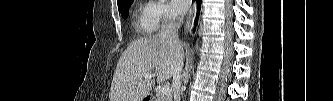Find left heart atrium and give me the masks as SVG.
<instances>
[{
	"label": "left heart atrium",
	"mask_w": 333,
	"mask_h": 101,
	"mask_svg": "<svg viewBox=\"0 0 333 101\" xmlns=\"http://www.w3.org/2000/svg\"><path fill=\"white\" fill-rule=\"evenodd\" d=\"M173 7L179 12L183 13L185 12L189 7V1L188 0H172Z\"/></svg>",
	"instance_id": "obj_1"
}]
</instances>
